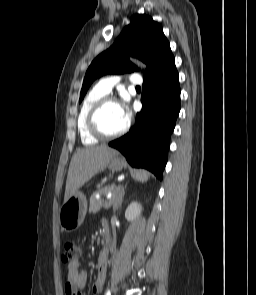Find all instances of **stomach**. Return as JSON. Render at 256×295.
I'll use <instances>...</instances> for the list:
<instances>
[{"mask_svg":"<svg viewBox=\"0 0 256 295\" xmlns=\"http://www.w3.org/2000/svg\"><path fill=\"white\" fill-rule=\"evenodd\" d=\"M112 171H120L124 167V161L117 155L113 156L108 163ZM87 199L81 191H76L63 203L59 213V222L66 231L76 230L81 226L87 213Z\"/></svg>","mask_w":256,"mask_h":295,"instance_id":"1","label":"stomach"}]
</instances>
